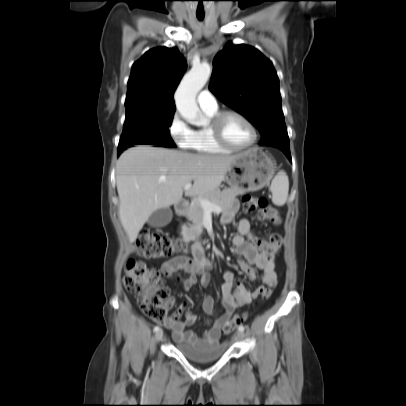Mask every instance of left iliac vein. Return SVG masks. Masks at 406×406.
I'll use <instances>...</instances> for the list:
<instances>
[{"label": "left iliac vein", "instance_id": "1", "mask_svg": "<svg viewBox=\"0 0 406 406\" xmlns=\"http://www.w3.org/2000/svg\"><path fill=\"white\" fill-rule=\"evenodd\" d=\"M244 338V332L243 331H238L235 335L236 340H240Z\"/></svg>", "mask_w": 406, "mask_h": 406}]
</instances>
